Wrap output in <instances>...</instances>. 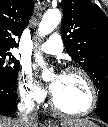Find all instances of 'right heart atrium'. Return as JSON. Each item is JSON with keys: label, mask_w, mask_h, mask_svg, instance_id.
I'll use <instances>...</instances> for the list:
<instances>
[{"label": "right heart atrium", "mask_w": 108, "mask_h": 127, "mask_svg": "<svg viewBox=\"0 0 108 127\" xmlns=\"http://www.w3.org/2000/svg\"><path fill=\"white\" fill-rule=\"evenodd\" d=\"M18 90L22 99L32 102L41 103L46 92L35 80L31 70L27 67L21 68L18 75Z\"/></svg>", "instance_id": "d8ad5b80"}]
</instances>
